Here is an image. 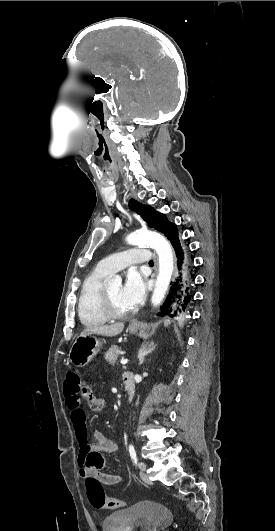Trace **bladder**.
<instances>
[{
	"label": "bladder",
	"mask_w": 275,
	"mask_h": 531,
	"mask_svg": "<svg viewBox=\"0 0 275 531\" xmlns=\"http://www.w3.org/2000/svg\"><path fill=\"white\" fill-rule=\"evenodd\" d=\"M173 515L166 504L138 501L131 507L105 515L103 531H161L172 524Z\"/></svg>",
	"instance_id": "obj_1"
}]
</instances>
